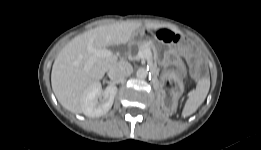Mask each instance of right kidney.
<instances>
[{
  "mask_svg": "<svg viewBox=\"0 0 261 150\" xmlns=\"http://www.w3.org/2000/svg\"><path fill=\"white\" fill-rule=\"evenodd\" d=\"M115 85H108L104 90L99 82L91 85L83 98V113L88 117H101L112 107L117 94Z\"/></svg>",
  "mask_w": 261,
  "mask_h": 150,
  "instance_id": "right-kidney-1",
  "label": "right kidney"
}]
</instances>
